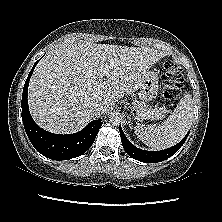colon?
Wrapping results in <instances>:
<instances>
[{"mask_svg":"<svg viewBox=\"0 0 222 222\" xmlns=\"http://www.w3.org/2000/svg\"><path fill=\"white\" fill-rule=\"evenodd\" d=\"M163 96L167 100H173L179 96L183 89L182 70L171 61H166L163 65Z\"/></svg>","mask_w":222,"mask_h":222,"instance_id":"colon-1","label":"colon"}]
</instances>
